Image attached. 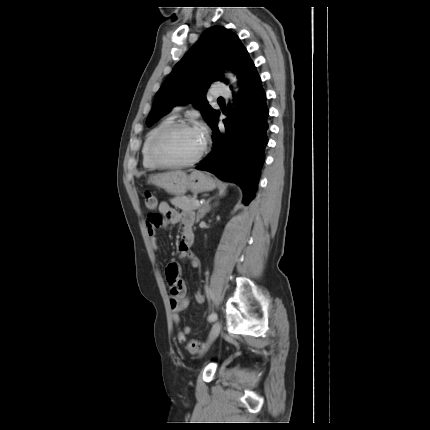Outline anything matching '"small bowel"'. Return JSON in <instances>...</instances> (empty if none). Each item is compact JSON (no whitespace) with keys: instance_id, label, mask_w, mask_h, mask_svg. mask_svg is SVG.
I'll return each mask as SVG.
<instances>
[{"instance_id":"obj_1","label":"small bowel","mask_w":430,"mask_h":430,"mask_svg":"<svg viewBox=\"0 0 430 430\" xmlns=\"http://www.w3.org/2000/svg\"><path fill=\"white\" fill-rule=\"evenodd\" d=\"M159 215H151L148 217L146 226L147 232L151 240L153 250H157L158 244L156 239L157 228H164L168 224H180L182 234L179 244L180 257L187 259L192 268H199V259L190 252V247L194 242V233L192 231V223L194 214L187 210H176L172 208L169 203L163 201L159 204ZM158 218V220H157ZM180 266L177 263H170L166 268V279L169 284V291L171 295L170 303L172 307V319L176 326H179L180 314L189 305V299L186 293V286L184 281L179 277ZM197 303L201 304L204 301V296L201 292L195 295ZM192 332L189 326L178 327L177 338L178 341L183 343L186 340V335Z\"/></svg>"}]
</instances>
